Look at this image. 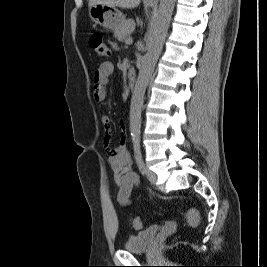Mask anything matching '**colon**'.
Listing matches in <instances>:
<instances>
[{
  "mask_svg": "<svg viewBox=\"0 0 267 267\" xmlns=\"http://www.w3.org/2000/svg\"><path fill=\"white\" fill-rule=\"evenodd\" d=\"M90 46L99 57H107L110 55V47L103 40L102 36L95 34L90 38ZM187 221L190 225L196 226L199 223L200 216L197 210L189 208L186 213ZM132 226L135 229H141L143 227V220L140 217H134L132 219Z\"/></svg>",
  "mask_w": 267,
  "mask_h": 267,
  "instance_id": "colon-1",
  "label": "colon"
}]
</instances>
